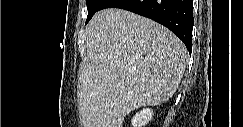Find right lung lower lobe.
<instances>
[{"instance_id": "98d812e1", "label": "right lung lower lobe", "mask_w": 243, "mask_h": 127, "mask_svg": "<svg viewBox=\"0 0 243 127\" xmlns=\"http://www.w3.org/2000/svg\"><path fill=\"white\" fill-rule=\"evenodd\" d=\"M192 0H105L99 10L121 8L150 18L169 28L192 51Z\"/></svg>"}]
</instances>
